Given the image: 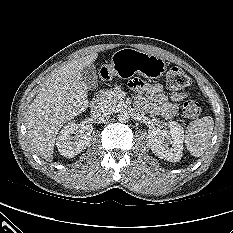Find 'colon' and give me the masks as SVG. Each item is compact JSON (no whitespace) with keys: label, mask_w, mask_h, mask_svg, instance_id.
Masks as SVG:
<instances>
[{"label":"colon","mask_w":233,"mask_h":233,"mask_svg":"<svg viewBox=\"0 0 233 233\" xmlns=\"http://www.w3.org/2000/svg\"><path fill=\"white\" fill-rule=\"evenodd\" d=\"M191 84L190 77L179 67H172L167 73V86L178 90ZM201 105L196 100L190 99L184 102L182 107L183 116L186 119H196L201 113Z\"/></svg>","instance_id":"colon-1"}]
</instances>
